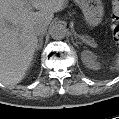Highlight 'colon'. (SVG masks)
I'll use <instances>...</instances> for the list:
<instances>
[{"label":"colon","instance_id":"5ec220e1","mask_svg":"<svg viewBox=\"0 0 119 119\" xmlns=\"http://www.w3.org/2000/svg\"><path fill=\"white\" fill-rule=\"evenodd\" d=\"M112 33L115 41L119 42V3L114 1L111 7Z\"/></svg>","mask_w":119,"mask_h":119}]
</instances>
